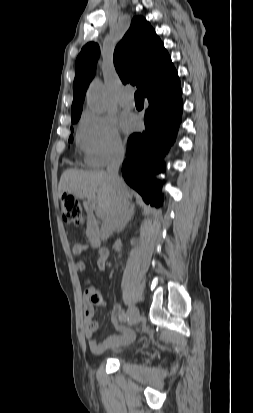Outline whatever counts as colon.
Here are the masks:
<instances>
[{"label":"colon","mask_w":253,"mask_h":413,"mask_svg":"<svg viewBox=\"0 0 253 413\" xmlns=\"http://www.w3.org/2000/svg\"><path fill=\"white\" fill-rule=\"evenodd\" d=\"M62 216L67 222H81L83 220V212L79 203L71 196H64L62 200ZM90 300L94 304L101 302L100 294L94 290L90 294Z\"/></svg>","instance_id":"obj_1"}]
</instances>
